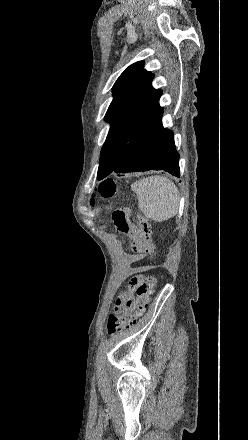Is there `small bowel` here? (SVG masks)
Segmentation results:
<instances>
[{
  "instance_id": "c3829d8e",
  "label": "small bowel",
  "mask_w": 248,
  "mask_h": 440,
  "mask_svg": "<svg viewBox=\"0 0 248 440\" xmlns=\"http://www.w3.org/2000/svg\"><path fill=\"white\" fill-rule=\"evenodd\" d=\"M140 233H141V230L136 225H132L130 231L128 233H126L129 236V238L131 239L132 249L135 252V254H131V255L126 256V261L127 262H130V263L137 262V261H139L141 259V256L138 254L139 251L137 250V243H138V240H139V237H140ZM140 272H142V268H140V267L132 268L130 270L131 274H136V273H140ZM117 307L118 308H123L124 307L123 299L118 301Z\"/></svg>"
}]
</instances>
